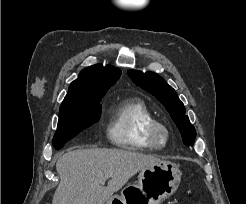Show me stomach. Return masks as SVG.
I'll return each instance as SVG.
<instances>
[{
	"label": "stomach",
	"instance_id": "0dacf381",
	"mask_svg": "<svg viewBox=\"0 0 246 204\" xmlns=\"http://www.w3.org/2000/svg\"><path fill=\"white\" fill-rule=\"evenodd\" d=\"M180 180L177 164L159 162L141 170L137 184L126 186L106 204H160L177 190Z\"/></svg>",
	"mask_w": 246,
	"mask_h": 204
}]
</instances>
